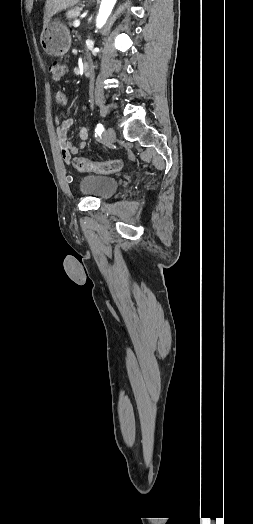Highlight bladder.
<instances>
[{
  "instance_id": "31cf9c89",
  "label": "bladder",
  "mask_w": 253,
  "mask_h": 524,
  "mask_svg": "<svg viewBox=\"0 0 253 524\" xmlns=\"http://www.w3.org/2000/svg\"><path fill=\"white\" fill-rule=\"evenodd\" d=\"M117 178L105 175H85L80 179L79 189L82 194L99 200H107L119 188Z\"/></svg>"
}]
</instances>
